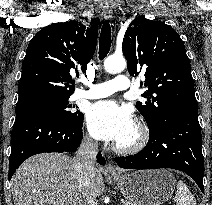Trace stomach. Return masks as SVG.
<instances>
[{
	"mask_svg": "<svg viewBox=\"0 0 212 205\" xmlns=\"http://www.w3.org/2000/svg\"><path fill=\"white\" fill-rule=\"evenodd\" d=\"M111 179L131 205H163L175 188L174 177L164 169L123 172Z\"/></svg>",
	"mask_w": 212,
	"mask_h": 205,
	"instance_id": "stomach-1",
	"label": "stomach"
}]
</instances>
